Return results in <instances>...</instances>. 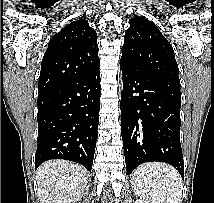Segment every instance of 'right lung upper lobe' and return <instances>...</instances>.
<instances>
[{"mask_svg": "<svg viewBox=\"0 0 214 203\" xmlns=\"http://www.w3.org/2000/svg\"><path fill=\"white\" fill-rule=\"evenodd\" d=\"M97 34L85 19L76 20L52 37L43 56L38 93L99 68Z\"/></svg>", "mask_w": 214, "mask_h": 203, "instance_id": "obj_1", "label": "right lung upper lobe"}]
</instances>
